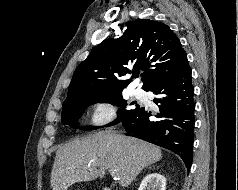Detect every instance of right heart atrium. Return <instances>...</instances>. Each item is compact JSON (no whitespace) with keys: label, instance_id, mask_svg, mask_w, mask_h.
<instances>
[{"label":"right heart atrium","instance_id":"1","mask_svg":"<svg viewBox=\"0 0 238 190\" xmlns=\"http://www.w3.org/2000/svg\"><path fill=\"white\" fill-rule=\"evenodd\" d=\"M117 117V107L109 100L98 99L91 106L90 122L94 127L105 126Z\"/></svg>","mask_w":238,"mask_h":190}]
</instances>
